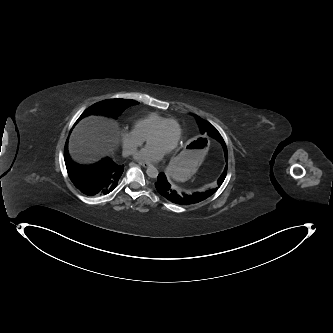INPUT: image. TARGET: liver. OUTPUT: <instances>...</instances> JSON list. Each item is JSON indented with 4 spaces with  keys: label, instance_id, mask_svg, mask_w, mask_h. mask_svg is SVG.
Masks as SVG:
<instances>
[{
    "label": "liver",
    "instance_id": "liver-1",
    "mask_svg": "<svg viewBox=\"0 0 333 333\" xmlns=\"http://www.w3.org/2000/svg\"><path fill=\"white\" fill-rule=\"evenodd\" d=\"M118 144L119 128L114 121L101 116H89L73 129L69 152L75 161L91 164L113 154Z\"/></svg>",
    "mask_w": 333,
    "mask_h": 333
}]
</instances>
